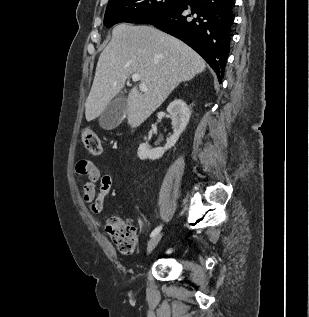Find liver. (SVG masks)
Here are the masks:
<instances>
[{"label": "liver", "instance_id": "obj_1", "mask_svg": "<svg viewBox=\"0 0 309 317\" xmlns=\"http://www.w3.org/2000/svg\"><path fill=\"white\" fill-rule=\"evenodd\" d=\"M206 68L188 45L152 26L119 24L100 54L94 81L85 103L88 122L102 114L122 90L127 78L139 74L147 91L133 87L127 100V121L140 126L181 83Z\"/></svg>", "mask_w": 309, "mask_h": 317}]
</instances>
